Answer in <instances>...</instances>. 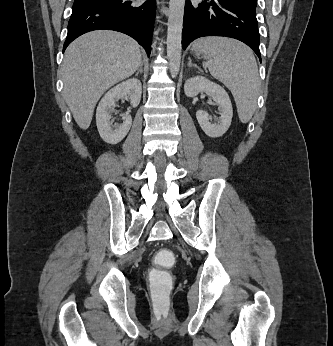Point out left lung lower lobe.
<instances>
[{
	"label": "left lung lower lobe",
	"mask_w": 333,
	"mask_h": 346,
	"mask_svg": "<svg viewBox=\"0 0 333 346\" xmlns=\"http://www.w3.org/2000/svg\"><path fill=\"white\" fill-rule=\"evenodd\" d=\"M203 36H225L240 40L257 54L260 37L256 11L233 0H203L199 4L185 2L182 48Z\"/></svg>",
	"instance_id": "1"
}]
</instances>
